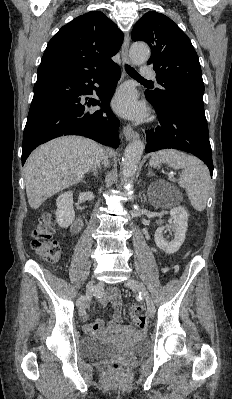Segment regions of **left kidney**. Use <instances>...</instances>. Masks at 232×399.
I'll return each mask as SVG.
<instances>
[{
	"label": "left kidney",
	"instance_id": "obj_1",
	"mask_svg": "<svg viewBox=\"0 0 232 399\" xmlns=\"http://www.w3.org/2000/svg\"><path fill=\"white\" fill-rule=\"evenodd\" d=\"M156 192H159V190H156ZM170 215L173 217L172 225H161V227H157L154 241L156 245H158L160 249H163V251H166V253H175L185 239L188 227V213L185 207L178 205V207H172V209H170ZM164 229H172V231H174V239L168 241L167 237L163 235Z\"/></svg>",
	"mask_w": 232,
	"mask_h": 399
}]
</instances>
